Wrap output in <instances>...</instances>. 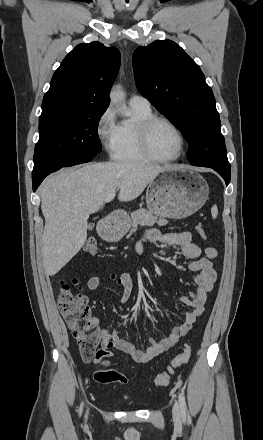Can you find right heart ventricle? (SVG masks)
Instances as JSON below:
<instances>
[{
	"label": "right heart ventricle",
	"instance_id": "e07e8e85",
	"mask_svg": "<svg viewBox=\"0 0 263 440\" xmlns=\"http://www.w3.org/2000/svg\"><path fill=\"white\" fill-rule=\"evenodd\" d=\"M132 107V106H131ZM134 118L119 124V138L112 154L113 158L122 162H139L148 160L139 150L136 125L140 120L153 115L151 108L132 107Z\"/></svg>",
	"mask_w": 263,
	"mask_h": 440
}]
</instances>
